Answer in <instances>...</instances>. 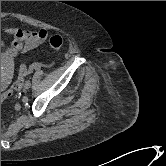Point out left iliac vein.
<instances>
[{
    "label": "left iliac vein",
    "mask_w": 166,
    "mask_h": 166,
    "mask_svg": "<svg viewBox=\"0 0 166 166\" xmlns=\"http://www.w3.org/2000/svg\"><path fill=\"white\" fill-rule=\"evenodd\" d=\"M30 86H31V82H30V81H26L25 84H24V87H25L26 89H29Z\"/></svg>",
    "instance_id": "4c4485c4"
}]
</instances>
